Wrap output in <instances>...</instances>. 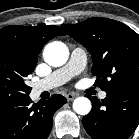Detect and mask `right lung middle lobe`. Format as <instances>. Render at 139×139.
<instances>
[{"mask_svg": "<svg viewBox=\"0 0 139 139\" xmlns=\"http://www.w3.org/2000/svg\"><path fill=\"white\" fill-rule=\"evenodd\" d=\"M33 71L18 55L0 51V102L28 97L31 87L25 80Z\"/></svg>", "mask_w": 139, "mask_h": 139, "instance_id": "obj_1", "label": "right lung middle lobe"}]
</instances>
